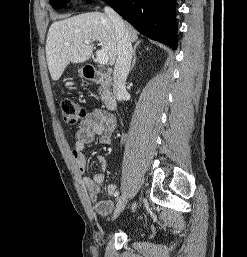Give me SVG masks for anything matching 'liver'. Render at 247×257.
Listing matches in <instances>:
<instances>
[{
  "label": "liver",
  "mask_w": 247,
  "mask_h": 257,
  "mask_svg": "<svg viewBox=\"0 0 247 257\" xmlns=\"http://www.w3.org/2000/svg\"><path fill=\"white\" fill-rule=\"evenodd\" d=\"M125 25L130 40L137 41V31L129 24ZM86 40L90 43L85 44ZM94 41H99L101 51L113 65L118 55L117 39L114 24L107 15L90 12L54 22L46 39V57L52 80L57 81L70 62L83 63L90 59Z\"/></svg>",
  "instance_id": "6515ba94"
}]
</instances>
